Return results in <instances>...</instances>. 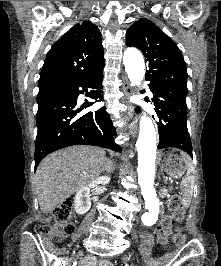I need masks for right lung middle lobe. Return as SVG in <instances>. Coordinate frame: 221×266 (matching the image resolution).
Here are the masks:
<instances>
[{"label":"right lung middle lobe","mask_w":221,"mask_h":266,"mask_svg":"<svg viewBox=\"0 0 221 266\" xmlns=\"http://www.w3.org/2000/svg\"><path fill=\"white\" fill-rule=\"evenodd\" d=\"M66 87H62V86H55V85H48V86H42L39 87V92L37 95V103H41L44 100H46L47 98H49L50 96L63 91Z\"/></svg>","instance_id":"dd1d6c3e"}]
</instances>
